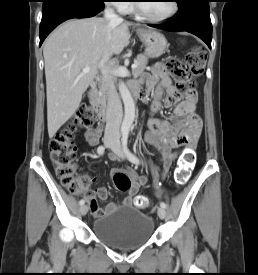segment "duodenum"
<instances>
[{"mask_svg":"<svg viewBox=\"0 0 258 275\" xmlns=\"http://www.w3.org/2000/svg\"><path fill=\"white\" fill-rule=\"evenodd\" d=\"M130 92L133 96L139 97L141 94L139 87H130ZM89 96L94 112L100 122H105L107 119V108L99 100L100 94L96 87L95 79L89 83Z\"/></svg>","mask_w":258,"mask_h":275,"instance_id":"1","label":"duodenum"}]
</instances>
